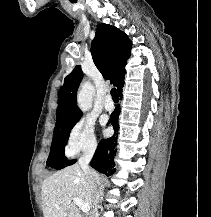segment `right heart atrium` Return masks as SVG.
<instances>
[{"label":"right heart atrium","mask_w":211,"mask_h":217,"mask_svg":"<svg viewBox=\"0 0 211 217\" xmlns=\"http://www.w3.org/2000/svg\"><path fill=\"white\" fill-rule=\"evenodd\" d=\"M96 146L94 124L88 119H81L70 130L65 151L67 155L74 156L81 151H93Z\"/></svg>","instance_id":"obj_1"}]
</instances>
